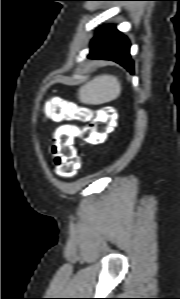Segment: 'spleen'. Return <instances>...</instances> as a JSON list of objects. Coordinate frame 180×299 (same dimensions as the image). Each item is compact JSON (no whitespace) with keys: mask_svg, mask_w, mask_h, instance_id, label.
I'll use <instances>...</instances> for the list:
<instances>
[{"mask_svg":"<svg viewBox=\"0 0 180 299\" xmlns=\"http://www.w3.org/2000/svg\"><path fill=\"white\" fill-rule=\"evenodd\" d=\"M120 89V82L115 76L100 75L81 86L78 97L83 103L97 105L116 99Z\"/></svg>","mask_w":180,"mask_h":299,"instance_id":"obj_1","label":"spleen"}]
</instances>
